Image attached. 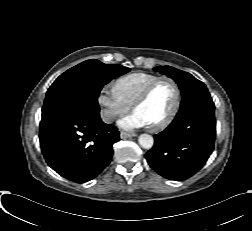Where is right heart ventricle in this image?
Wrapping results in <instances>:
<instances>
[{"label":"right heart ventricle","instance_id":"e07e8e85","mask_svg":"<svg viewBox=\"0 0 252 231\" xmlns=\"http://www.w3.org/2000/svg\"><path fill=\"white\" fill-rule=\"evenodd\" d=\"M158 77L150 73H131L118 78L114 86L124 101L132 105L141 92Z\"/></svg>","mask_w":252,"mask_h":231}]
</instances>
